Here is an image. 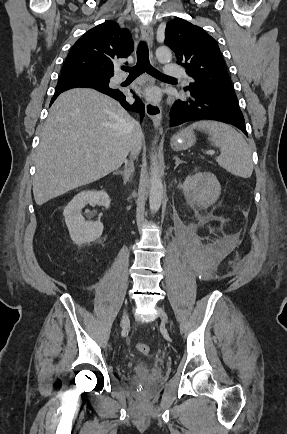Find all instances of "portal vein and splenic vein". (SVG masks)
<instances>
[{
    "instance_id": "18ae733b",
    "label": "portal vein and splenic vein",
    "mask_w": 287,
    "mask_h": 434,
    "mask_svg": "<svg viewBox=\"0 0 287 434\" xmlns=\"http://www.w3.org/2000/svg\"><path fill=\"white\" fill-rule=\"evenodd\" d=\"M214 153H215L214 150H210V151H209V154H210V155H213Z\"/></svg>"
}]
</instances>
